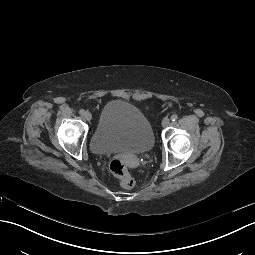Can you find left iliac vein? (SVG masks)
<instances>
[{
  "label": "left iliac vein",
  "instance_id": "obj_1",
  "mask_svg": "<svg viewBox=\"0 0 255 255\" xmlns=\"http://www.w3.org/2000/svg\"><path fill=\"white\" fill-rule=\"evenodd\" d=\"M170 123V119L169 118H164L162 121V126L163 127H167Z\"/></svg>",
  "mask_w": 255,
  "mask_h": 255
}]
</instances>
